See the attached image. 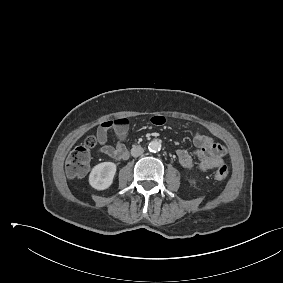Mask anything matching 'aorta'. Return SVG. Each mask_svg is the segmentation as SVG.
<instances>
[{"mask_svg":"<svg viewBox=\"0 0 283 283\" xmlns=\"http://www.w3.org/2000/svg\"><path fill=\"white\" fill-rule=\"evenodd\" d=\"M148 149L150 152L156 153L161 150V143L158 142L157 140H153L149 143Z\"/></svg>","mask_w":283,"mask_h":283,"instance_id":"aorta-1","label":"aorta"}]
</instances>
